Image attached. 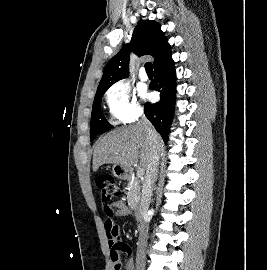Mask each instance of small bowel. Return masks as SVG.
<instances>
[{
	"label": "small bowel",
	"instance_id": "obj_1",
	"mask_svg": "<svg viewBox=\"0 0 267 270\" xmlns=\"http://www.w3.org/2000/svg\"><path fill=\"white\" fill-rule=\"evenodd\" d=\"M104 210L106 214L105 229L111 249V260H114L115 258L120 260L121 255H125L127 257V261L125 263L124 270H134L135 263L132 249L126 243L119 241V231L113 221L114 213L117 216L126 217L130 215V210L123 201H117L106 205Z\"/></svg>",
	"mask_w": 267,
	"mask_h": 270
}]
</instances>
